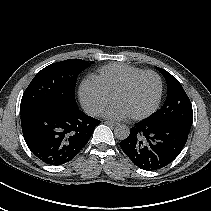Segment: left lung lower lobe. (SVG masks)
<instances>
[{"label":"left lung lower lobe","mask_w":211,"mask_h":211,"mask_svg":"<svg viewBox=\"0 0 211 211\" xmlns=\"http://www.w3.org/2000/svg\"><path fill=\"white\" fill-rule=\"evenodd\" d=\"M189 131L179 124L144 119L131 128L120 147L136 166L153 171L167 166L180 154Z\"/></svg>","instance_id":"left-lung-lower-lobe-1"}]
</instances>
